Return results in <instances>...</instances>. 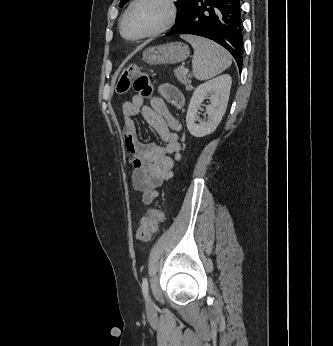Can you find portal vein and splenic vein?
<instances>
[{"mask_svg": "<svg viewBox=\"0 0 333 346\" xmlns=\"http://www.w3.org/2000/svg\"><path fill=\"white\" fill-rule=\"evenodd\" d=\"M183 70H184V72L188 73V69L185 68V69H183Z\"/></svg>", "mask_w": 333, "mask_h": 346, "instance_id": "obj_1", "label": "portal vein and splenic vein"}]
</instances>
